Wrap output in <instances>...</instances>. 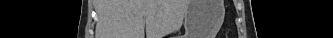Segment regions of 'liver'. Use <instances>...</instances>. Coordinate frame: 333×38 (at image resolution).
Returning a JSON list of instances; mask_svg holds the SVG:
<instances>
[{
	"mask_svg": "<svg viewBox=\"0 0 333 38\" xmlns=\"http://www.w3.org/2000/svg\"><path fill=\"white\" fill-rule=\"evenodd\" d=\"M162 2L159 1H149V2H145L144 5L143 3L140 5L148 10H155L158 9L159 6H161Z\"/></svg>",
	"mask_w": 333,
	"mask_h": 38,
	"instance_id": "1",
	"label": "liver"
}]
</instances>
